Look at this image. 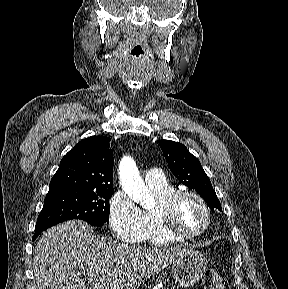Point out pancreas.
<instances>
[{
	"instance_id": "pancreas-1",
	"label": "pancreas",
	"mask_w": 288,
	"mask_h": 289,
	"mask_svg": "<svg viewBox=\"0 0 288 289\" xmlns=\"http://www.w3.org/2000/svg\"><path fill=\"white\" fill-rule=\"evenodd\" d=\"M170 289H176V288H174V287H171Z\"/></svg>"
}]
</instances>
